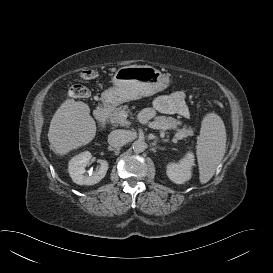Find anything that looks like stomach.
Here are the masks:
<instances>
[{"instance_id": "0dacf381", "label": "stomach", "mask_w": 273, "mask_h": 273, "mask_svg": "<svg viewBox=\"0 0 273 273\" xmlns=\"http://www.w3.org/2000/svg\"><path fill=\"white\" fill-rule=\"evenodd\" d=\"M112 83L113 87L105 90L101 96L106 108L161 92L169 86L170 78L152 66L133 65L118 69Z\"/></svg>"}]
</instances>
